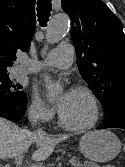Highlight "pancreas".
I'll list each match as a JSON object with an SVG mask.
<instances>
[{"instance_id":"1","label":"pancreas","mask_w":125,"mask_h":167,"mask_svg":"<svg viewBox=\"0 0 125 167\" xmlns=\"http://www.w3.org/2000/svg\"><path fill=\"white\" fill-rule=\"evenodd\" d=\"M72 160L74 161L72 163L73 167H82L79 159H77L76 157H73ZM105 167H112V166H105Z\"/></svg>"}]
</instances>
